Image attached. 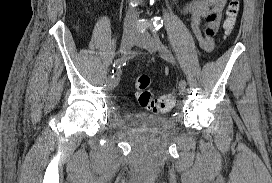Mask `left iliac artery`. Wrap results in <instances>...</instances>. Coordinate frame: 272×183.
<instances>
[{"label":"left iliac artery","instance_id":"obj_1","mask_svg":"<svg viewBox=\"0 0 272 183\" xmlns=\"http://www.w3.org/2000/svg\"><path fill=\"white\" fill-rule=\"evenodd\" d=\"M154 38L156 39L157 43H158V49L160 52V55L163 59H165L166 61L170 62V63H174V58L173 55L171 54V52L169 51V49L162 43V41L160 40L159 35L154 32L153 33ZM186 81L185 80H180L179 81V87L180 88H186Z\"/></svg>","mask_w":272,"mask_h":183}]
</instances>
